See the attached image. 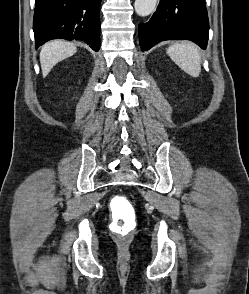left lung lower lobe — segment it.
Masks as SVG:
<instances>
[{
  "instance_id": "left-lung-lower-lobe-1",
  "label": "left lung lower lobe",
  "mask_w": 249,
  "mask_h": 294,
  "mask_svg": "<svg viewBox=\"0 0 249 294\" xmlns=\"http://www.w3.org/2000/svg\"><path fill=\"white\" fill-rule=\"evenodd\" d=\"M208 31L205 0H161L152 18L139 24V42L142 51L170 39H188L205 49Z\"/></svg>"
}]
</instances>
